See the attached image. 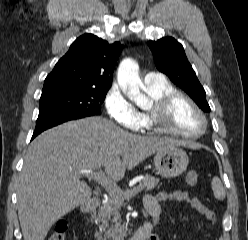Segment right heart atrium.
<instances>
[{
	"instance_id": "right-heart-atrium-1",
	"label": "right heart atrium",
	"mask_w": 248,
	"mask_h": 240,
	"mask_svg": "<svg viewBox=\"0 0 248 240\" xmlns=\"http://www.w3.org/2000/svg\"><path fill=\"white\" fill-rule=\"evenodd\" d=\"M105 108L108 115L128 130L137 131L141 128L139 112L125 97L120 87L113 84L105 96Z\"/></svg>"
}]
</instances>
